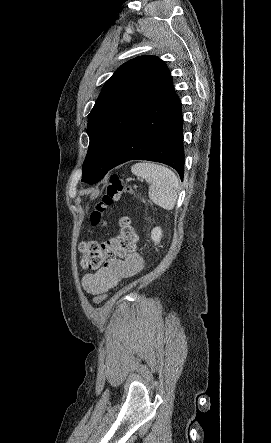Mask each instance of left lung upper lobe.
<instances>
[{
    "instance_id": "obj_1",
    "label": "left lung upper lobe",
    "mask_w": 271,
    "mask_h": 443,
    "mask_svg": "<svg viewBox=\"0 0 271 443\" xmlns=\"http://www.w3.org/2000/svg\"><path fill=\"white\" fill-rule=\"evenodd\" d=\"M166 68L156 56H140L124 63L106 81L88 117L90 144L83 182L94 184L110 170L131 119Z\"/></svg>"
}]
</instances>
